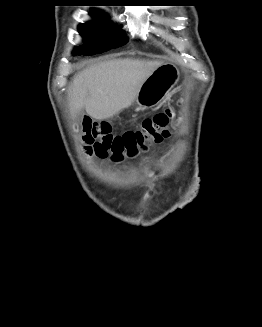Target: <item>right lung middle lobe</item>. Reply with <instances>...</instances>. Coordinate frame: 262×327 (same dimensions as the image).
<instances>
[{
    "label": "right lung middle lobe",
    "instance_id": "dd1d6c3e",
    "mask_svg": "<svg viewBox=\"0 0 262 327\" xmlns=\"http://www.w3.org/2000/svg\"><path fill=\"white\" fill-rule=\"evenodd\" d=\"M90 14L97 18V21L81 24L79 26V33L87 40L88 47L91 50L88 52L79 50V54L92 55L101 53L111 48L122 46L127 42L125 34L99 12H92Z\"/></svg>",
    "mask_w": 262,
    "mask_h": 327
}]
</instances>
